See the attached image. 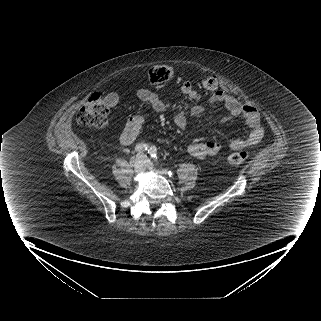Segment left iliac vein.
I'll return each mask as SVG.
<instances>
[{
	"label": "left iliac vein",
	"instance_id": "left-iliac-vein-1",
	"mask_svg": "<svg viewBox=\"0 0 321 321\" xmlns=\"http://www.w3.org/2000/svg\"><path fill=\"white\" fill-rule=\"evenodd\" d=\"M142 158H143L144 161H145V167H146L147 169L153 170V171L158 172V173H160V174H164V173H165L164 171H160V170H157L156 168H154L153 164H152L150 161L146 160L144 155H142Z\"/></svg>",
	"mask_w": 321,
	"mask_h": 321
}]
</instances>
